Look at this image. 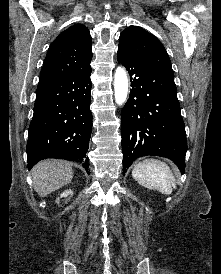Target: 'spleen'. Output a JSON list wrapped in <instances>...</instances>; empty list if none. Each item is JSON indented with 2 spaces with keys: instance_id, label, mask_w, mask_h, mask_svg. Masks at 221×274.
Returning <instances> with one entry per match:
<instances>
[{
  "instance_id": "3e777b00",
  "label": "spleen",
  "mask_w": 221,
  "mask_h": 274,
  "mask_svg": "<svg viewBox=\"0 0 221 274\" xmlns=\"http://www.w3.org/2000/svg\"><path fill=\"white\" fill-rule=\"evenodd\" d=\"M133 178L143 187L171 194L176 181L170 168L164 162L148 159L135 165Z\"/></svg>"
}]
</instances>
